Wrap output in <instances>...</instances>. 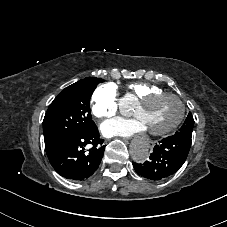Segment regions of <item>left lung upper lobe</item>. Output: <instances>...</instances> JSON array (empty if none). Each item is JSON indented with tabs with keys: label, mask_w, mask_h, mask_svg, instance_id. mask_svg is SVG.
<instances>
[{
	"label": "left lung upper lobe",
	"mask_w": 227,
	"mask_h": 227,
	"mask_svg": "<svg viewBox=\"0 0 227 227\" xmlns=\"http://www.w3.org/2000/svg\"><path fill=\"white\" fill-rule=\"evenodd\" d=\"M193 127H194V119L191 112H189L184 124L179 129V131H177L173 136L191 138Z\"/></svg>",
	"instance_id": "1"
}]
</instances>
